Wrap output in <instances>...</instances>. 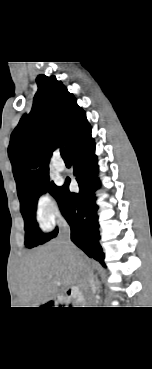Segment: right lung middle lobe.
<instances>
[{
	"label": "right lung middle lobe",
	"mask_w": 152,
	"mask_h": 369,
	"mask_svg": "<svg viewBox=\"0 0 152 369\" xmlns=\"http://www.w3.org/2000/svg\"><path fill=\"white\" fill-rule=\"evenodd\" d=\"M60 188L61 187L56 186L53 182H50L49 175H47L41 181L29 188L20 199V210L25 222V246L27 248H33L44 244L55 237L57 229L49 234H44L39 229L38 224L36 223V207L39 196L47 191L57 200Z\"/></svg>",
	"instance_id": "obj_1"
}]
</instances>
